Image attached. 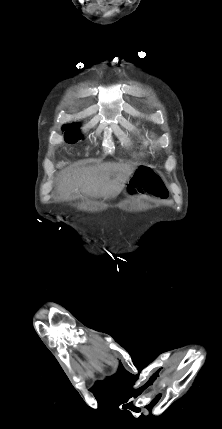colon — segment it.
<instances>
[{"mask_svg": "<svg viewBox=\"0 0 222 429\" xmlns=\"http://www.w3.org/2000/svg\"><path fill=\"white\" fill-rule=\"evenodd\" d=\"M130 194L152 195L166 198L167 188L161 176L149 166H140L133 174L128 187Z\"/></svg>", "mask_w": 222, "mask_h": 429, "instance_id": "1", "label": "colon"}]
</instances>
